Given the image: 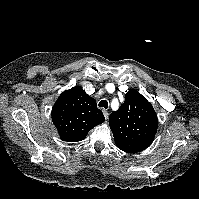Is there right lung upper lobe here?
<instances>
[{
    "instance_id": "obj_1",
    "label": "right lung upper lobe",
    "mask_w": 199,
    "mask_h": 199,
    "mask_svg": "<svg viewBox=\"0 0 199 199\" xmlns=\"http://www.w3.org/2000/svg\"><path fill=\"white\" fill-rule=\"evenodd\" d=\"M52 121L63 141L78 142L89 130L105 121L96 101L80 87L63 92L52 109Z\"/></svg>"
}]
</instances>
